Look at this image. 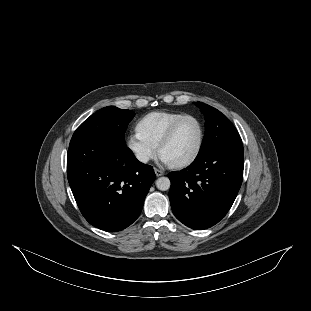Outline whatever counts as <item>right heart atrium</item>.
<instances>
[{"instance_id": "1", "label": "right heart atrium", "mask_w": 311, "mask_h": 311, "mask_svg": "<svg viewBox=\"0 0 311 311\" xmlns=\"http://www.w3.org/2000/svg\"><path fill=\"white\" fill-rule=\"evenodd\" d=\"M126 146L134 159L146 165L156 157V149L142 141L137 134L131 133L126 138Z\"/></svg>"}]
</instances>
